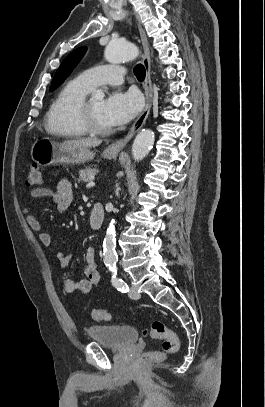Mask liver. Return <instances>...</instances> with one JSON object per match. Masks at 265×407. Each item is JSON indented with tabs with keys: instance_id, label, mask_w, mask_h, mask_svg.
Instances as JSON below:
<instances>
[{
	"instance_id": "1",
	"label": "liver",
	"mask_w": 265,
	"mask_h": 407,
	"mask_svg": "<svg viewBox=\"0 0 265 407\" xmlns=\"http://www.w3.org/2000/svg\"><path fill=\"white\" fill-rule=\"evenodd\" d=\"M101 140L99 139H79V140H72V141H65L63 144L65 145H75V146H82V147H97L101 144Z\"/></svg>"
}]
</instances>
